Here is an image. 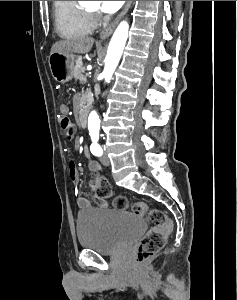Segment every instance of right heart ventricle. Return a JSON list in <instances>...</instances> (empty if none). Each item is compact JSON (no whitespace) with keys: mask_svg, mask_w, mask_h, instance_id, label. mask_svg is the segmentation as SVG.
Listing matches in <instances>:
<instances>
[{"mask_svg":"<svg viewBox=\"0 0 237 300\" xmlns=\"http://www.w3.org/2000/svg\"><path fill=\"white\" fill-rule=\"evenodd\" d=\"M57 32L63 37L83 36L94 28V19L78 1H53Z\"/></svg>","mask_w":237,"mask_h":300,"instance_id":"1","label":"right heart ventricle"}]
</instances>
